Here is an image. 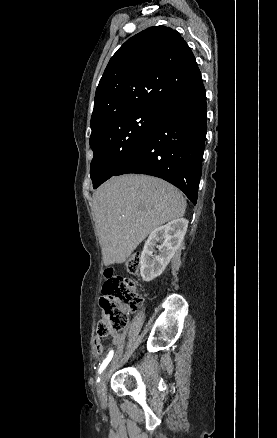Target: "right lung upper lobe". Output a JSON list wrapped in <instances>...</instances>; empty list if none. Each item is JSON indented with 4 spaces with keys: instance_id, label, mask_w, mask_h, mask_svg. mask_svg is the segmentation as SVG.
I'll list each match as a JSON object with an SVG mask.
<instances>
[{
    "instance_id": "obj_1",
    "label": "right lung upper lobe",
    "mask_w": 277,
    "mask_h": 438,
    "mask_svg": "<svg viewBox=\"0 0 277 438\" xmlns=\"http://www.w3.org/2000/svg\"><path fill=\"white\" fill-rule=\"evenodd\" d=\"M170 64L169 70L162 66ZM201 79L195 57L180 34L150 27L127 40L110 59L96 89L91 126L106 118L158 108Z\"/></svg>"
}]
</instances>
